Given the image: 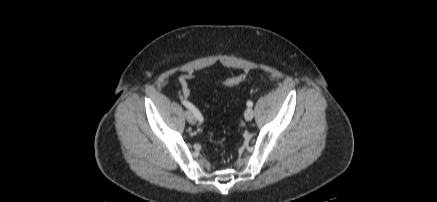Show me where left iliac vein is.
Listing matches in <instances>:
<instances>
[{"mask_svg": "<svg viewBox=\"0 0 437 202\" xmlns=\"http://www.w3.org/2000/svg\"><path fill=\"white\" fill-rule=\"evenodd\" d=\"M244 117L246 121H251L254 117V112L251 108H247L244 113Z\"/></svg>", "mask_w": 437, "mask_h": 202, "instance_id": "left-iliac-vein-1", "label": "left iliac vein"}]
</instances>
